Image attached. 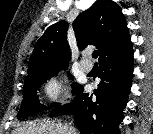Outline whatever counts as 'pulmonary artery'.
<instances>
[{
	"instance_id": "1",
	"label": "pulmonary artery",
	"mask_w": 153,
	"mask_h": 134,
	"mask_svg": "<svg viewBox=\"0 0 153 134\" xmlns=\"http://www.w3.org/2000/svg\"><path fill=\"white\" fill-rule=\"evenodd\" d=\"M80 67L83 71L89 72L93 68V63L87 57H84L80 62Z\"/></svg>"
}]
</instances>
